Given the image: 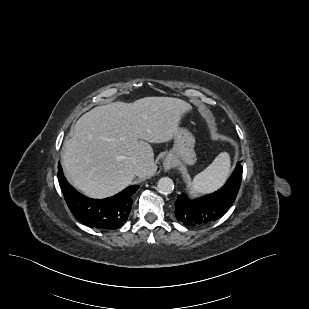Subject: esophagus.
Here are the masks:
<instances>
[{"instance_id": "esophagus-1", "label": "esophagus", "mask_w": 309, "mask_h": 309, "mask_svg": "<svg viewBox=\"0 0 309 309\" xmlns=\"http://www.w3.org/2000/svg\"><path fill=\"white\" fill-rule=\"evenodd\" d=\"M163 166L165 170H170L173 167V162L170 159L166 158L164 160Z\"/></svg>"}]
</instances>
